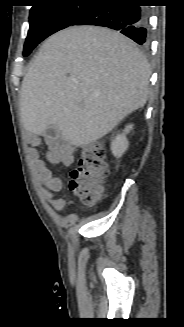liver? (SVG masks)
Returning a JSON list of instances; mask_svg holds the SVG:
<instances>
[{
  "mask_svg": "<svg viewBox=\"0 0 184 327\" xmlns=\"http://www.w3.org/2000/svg\"><path fill=\"white\" fill-rule=\"evenodd\" d=\"M150 66L128 37L107 28L70 27L49 37L25 75L24 128L55 127L81 147L112 131L148 99Z\"/></svg>",
  "mask_w": 184,
  "mask_h": 327,
  "instance_id": "obj_1",
  "label": "liver"
}]
</instances>
